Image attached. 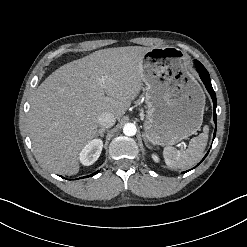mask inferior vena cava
I'll use <instances>...</instances> for the list:
<instances>
[{
	"instance_id": "inferior-vena-cava-1",
	"label": "inferior vena cava",
	"mask_w": 247,
	"mask_h": 247,
	"mask_svg": "<svg viewBox=\"0 0 247 247\" xmlns=\"http://www.w3.org/2000/svg\"><path fill=\"white\" fill-rule=\"evenodd\" d=\"M98 120H99V125H100V127L102 129H104V128H110L116 122L115 116L112 113H110V112H104V113H102L99 116Z\"/></svg>"
}]
</instances>
